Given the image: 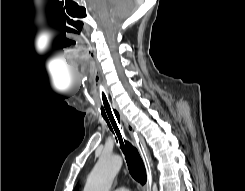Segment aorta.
Here are the masks:
<instances>
[{"label":"aorta","mask_w":245,"mask_h":191,"mask_svg":"<svg viewBox=\"0 0 245 191\" xmlns=\"http://www.w3.org/2000/svg\"><path fill=\"white\" fill-rule=\"evenodd\" d=\"M122 163L119 155L101 156L87 178L84 191H110Z\"/></svg>","instance_id":"762f6f07"}]
</instances>
